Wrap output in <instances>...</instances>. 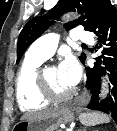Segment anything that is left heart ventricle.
I'll list each match as a JSON object with an SVG mask.
<instances>
[{
  "instance_id": "1",
  "label": "left heart ventricle",
  "mask_w": 117,
  "mask_h": 131,
  "mask_svg": "<svg viewBox=\"0 0 117 131\" xmlns=\"http://www.w3.org/2000/svg\"><path fill=\"white\" fill-rule=\"evenodd\" d=\"M44 76L50 85V87L59 94L67 93L73 89V87L65 84L59 75L58 68L49 67L44 70Z\"/></svg>"
}]
</instances>
